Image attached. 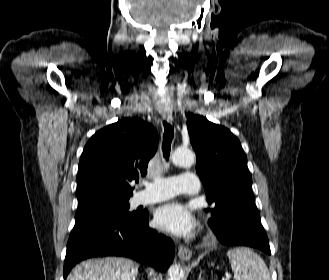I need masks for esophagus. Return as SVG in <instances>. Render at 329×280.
I'll use <instances>...</instances> for the list:
<instances>
[{"label": "esophagus", "mask_w": 329, "mask_h": 280, "mask_svg": "<svg viewBox=\"0 0 329 280\" xmlns=\"http://www.w3.org/2000/svg\"><path fill=\"white\" fill-rule=\"evenodd\" d=\"M162 117L168 122L173 121L172 113L170 112H162ZM178 256L181 260H190L192 257V251L188 247L180 245L178 248Z\"/></svg>", "instance_id": "1"}]
</instances>
